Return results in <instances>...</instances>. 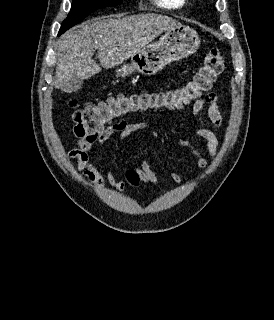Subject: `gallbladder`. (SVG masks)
Instances as JSON below:
<instances>
[{"label": "gallbladder", "mask_w": 274, "mask_h": 320, "mask_svg": "<svg viewBox=\"0 0 274 320\" xmlns=\"http://www.w3.org/2000/svg\"><path fill=\"white\" fill-rule=\"evenodd\" d=\"M70 78H65V90H68L69 95H77L78 94V85H80V74L79 72H70Z\"/></svg>", "instance_id": "obj_1"}]
</instances>
